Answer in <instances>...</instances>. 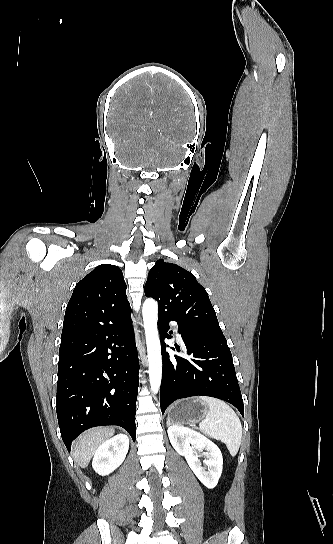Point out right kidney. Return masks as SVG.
Instances as JSON below:
<instances>
[{"label":"right kidney","instance_id":"right-kidney-1","mask_svg":"<svg viewBox=\"0 0 333 544\" xmlns=\"http://www.w3.org/2000/svg\"><path fill=\"white\" fill-rule=\"evenodd\" d=\"M129 449V439L118 434L101 444L95 452L92 467L102 476L109 475L124 461Z\"/></svg>","mask_w":333,"mask_h":544}]
</instances>
